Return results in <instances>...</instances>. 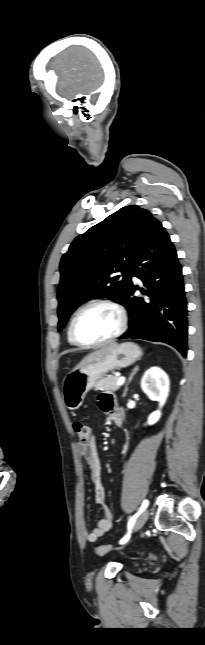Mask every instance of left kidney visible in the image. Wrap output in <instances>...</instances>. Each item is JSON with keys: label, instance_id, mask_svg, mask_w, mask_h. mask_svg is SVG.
Wrapping results in <instances>:
<instances>
[{"label": "left kidney", "instance_id": "obj_1", "mask_svg": "<svg viewBox=\"0 0 205 645\" xmlns=\"http://www.w3.org/2000/svg\"><path fill=\"white\" fill-rule=\"evenodd\" d=\"M170 381L168 375L159 367L154 366L147 370L141 379L143 392L152 401L159 402V409L152 412L147 420L148 425H153L161 417V408L169 395Z\"/></svg>", "mask_w": 205, "mask_h": 645}]
</instances>
